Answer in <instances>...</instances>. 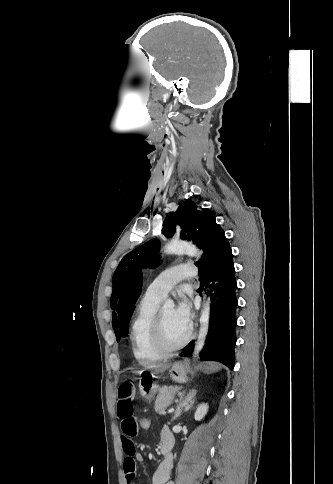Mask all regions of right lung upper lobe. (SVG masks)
<instances>
[{"label":"right lung upper lobe","instance_id":"right-lung-upper-lobe-1","mask_svg":"<svg viewBox=\"0 0 333 484\" xmlns=\"http://www.w3.org/2000/svg\"><path fill=\"white\" fill-rule=\"evenodd\" d=\"M142 288V273L140 270L133 272L128 278L118 304L119 328L123 333L126 324L129 322L134 310L137 298Z\"/></svg>","mask_w":333,"mask_h":484}]
</instances>
